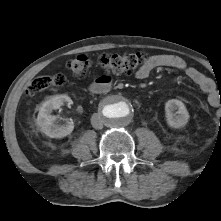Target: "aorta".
Listing matches in <instances>:
<instances>
[{
	"mask_svg": "<svg viewBox=\"0 0 221 221\" xmlns=\"http://www.w3.org/2000/svg\"><path fill=\"white\" fill-rule=\"evenodd\" d=\"M103 121L111 127H121L128 124L133 116L132 103L123 96H113L107 99L101 110Z\"/></svg>",
	"mask_w": 221,
	"mask_h": 221,
	"instance_id": "obj_1",
	"label": "aorta"
}]
</instances>
